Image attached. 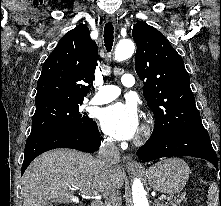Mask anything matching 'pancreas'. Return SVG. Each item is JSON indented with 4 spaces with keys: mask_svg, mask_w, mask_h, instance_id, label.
<instances>
[{
    "mask_svg": "<svg viewBox=\"0 0 221 206\" xmlns=\"http://www.w3.org/2000/svg\"><path fill=\"white\" fill-rule=\"evenodd\" d=\"M166 200L168 201L167 204L171 206H181L182 203H185L187 201L185 194L178 195L177 197L170 195L166 197Z\"/></svg>",
    "mask_w": 221,
    "mask_h": 206,
    "instance_id": "1",
    "label": "pancreas"
}]
</instances>
